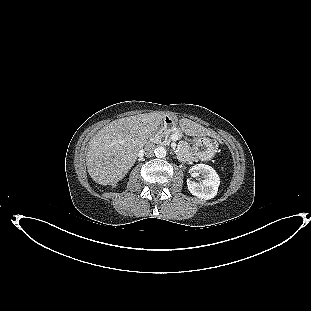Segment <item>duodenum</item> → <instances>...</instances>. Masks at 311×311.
I'll list each match as a JSON object with an SVG mask.
<instances>
[{
    "mask_svg": "<svg viewBox=\"0 0 311 311\" xmlns=\"http://www.w3.org/2000/svg\"><path fill=\"white\" fill-rule=\"evenodd\" d=\"M172 124H173V119L172 118H170V117L165 118L164 126L170 127V126H172Z\"/></svg>",
    "mask_w": 311,
    "mask_h": 311,
    "instance_id": "duodenum-1",
    "label": "duodenum"
}]
</instances>
